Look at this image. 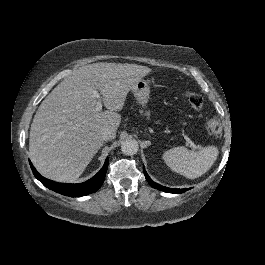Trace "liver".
Instances as JSON below:
<instances>
[{"label":"liver","instance_id":"1","mask_svg":"<svg viewBox=\"0 0 265 265\" xmlns=\"http://www.w3.org/2000/svg\"><path fill=\"white\" fill-rule=\"evenodd\" d=\"M150 71L137 64L100 62L71 72L42 101L31 123L29 153L36 170L56 182L79 177L103 146L101 131L115 134L121 122L117 110L133 84ZM94 89L104 112H95Z\"/></svg>","mask_w":265,"mask_h":265}]
</instances>
